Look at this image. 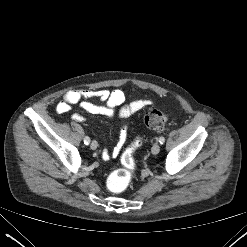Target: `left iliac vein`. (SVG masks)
<instances>
[{"instance_id":"left-iliac-vein-1","label":"left iliac vein","mask_w":247,"mask_h":247,"mask_svg":"<svg viewBox=\"0 0 247 247\" xmlns=\"http://www.w3.org/2000/svg\"><path fill=\"white\" fill-rule=\"evenodd\" d=\"M152 154H158L160 152V145L158 143L154 144L151 149Z\"/></svg>"}]
</instances>
